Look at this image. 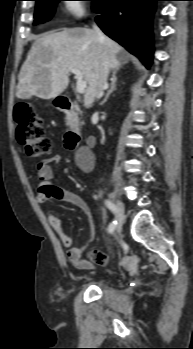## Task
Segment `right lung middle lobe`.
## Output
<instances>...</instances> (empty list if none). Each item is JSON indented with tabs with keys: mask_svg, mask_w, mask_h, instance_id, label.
Wrapping results in <instances>:
<instances>
[{
	"mask_svg": "<svg viewBox=\"0 0 193 349\" xmlns=\"http://www.w3.org/2000/svg\"><path fill=\"white\" fill-rule=\"evenodd\" d=\"M36 1V10H35V22L34 24H41L45 21L51 19L54 14L56 5L59 1L62 0H35ZM92 1L93 7L96 5L98 0H89Z\"/></svg>",
	"mask_w": 193,
	"mask_h": 349,
	"instance_id": "right-lung-middle-lobe-1",
	"label": "right lung middle lobe"
}]
</instances>
